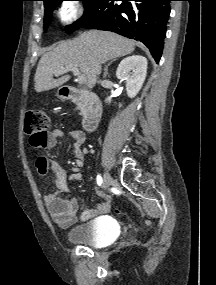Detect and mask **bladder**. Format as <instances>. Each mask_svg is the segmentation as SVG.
Returning <instances> with one entry per match:
<instances>
[{"instance_id": "bladder-1", "label": "bladder", "mask_w": 216, "mask_h": 285, "mask_svg": "<svg viewBox=\"0 0 216 285\" xmlns=\"http://www.w3.org/2000/svg\"><path fill=\"white\" fill-rule=\"evenodd\" d=\"M66 236L73 244L102 248L117 238L118 227L110 217L103 216L71 227Z\"/></svg>"}]
</instances>
